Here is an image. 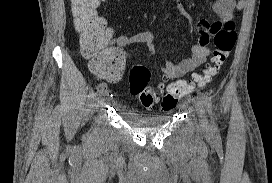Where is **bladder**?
I'll return each instance as SVG.
<instances>
[{
  "label": "bladder",
  "mask_w": 272,
  "mask_h": 183,
  "mask_svg": "<svg viewBox=\"0 0 272 183\" xmlns=\"http://www.w3.org/2000/svg\"><path fill=\"white\" fill-rule=\"evenodd\" d=\"M122 116L129 125L144 130L161 128L170 120L168 114L143 116L134 112H125Z\"/></svg>",
  "instance_id": "obj_1"
}]
</instances>
